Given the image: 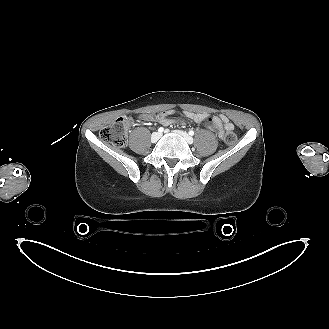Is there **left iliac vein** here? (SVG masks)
Wrapping results in <instances>:
<instances>
[{
    "mask_svg": "<svg viewBox=\"0 0 329 329\" xmlns=\"http://www.w3.org/2000/svg\"><path fill=\"white\" fill-rule=\"evenodd\" d=\"M176 133H178L179 135H181L186 140V142L188 144H192L193 143V138L190 135H188L186 132L177 130Z\"/></svg>",
    "mask_w": 329,
    "mask_h": 329,
    "instance_id": "obj_1",
    "label": "left iliac vein"
}]
</instances>
